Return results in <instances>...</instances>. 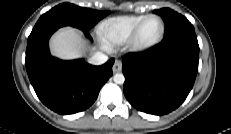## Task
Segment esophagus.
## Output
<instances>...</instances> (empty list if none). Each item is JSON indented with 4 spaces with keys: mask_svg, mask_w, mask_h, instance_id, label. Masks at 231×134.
<instances>
[{
    "mask_svg": "<svg viewBox=\"0 0 231 134\" xmlns=\"http://www.w3.org/2000/svg\"><path fill=\"white\" fill-rule=\"evenodd\" d=\"M112 69L114 73L120 72L122 69V62L120 60H115V63Z\"/></svg>",
    "mask_w": 231,
    "mask_h": 134,
    "instance_id": "1",
    "label": "esophagus"
}]
</instances>
